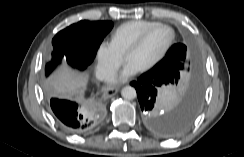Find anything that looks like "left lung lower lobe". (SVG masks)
Instances as JSON below:
<instances>
[{"instance_id":"obj_1","label":"left lung lower lobe","mask_w":244,"mask_h":157,"mask_svg":"<svg viewBox=\"0 0 244 157\" xmlns=\"http://www.w3.org/2000/svg\"><path fill=\"white\" fill-rule=\"evenodd\" d=\"M171 84L164 75L150 70L131 82L137 91L146 127L162 137L184 133L194 122L202 103L204 83L199 73L179 102L164 105V90Z\"/></svg>"}]
</instances>
